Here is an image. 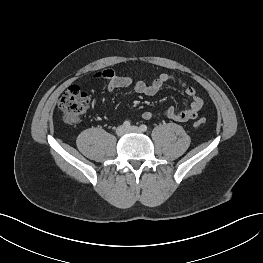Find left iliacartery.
I'll return each mask as SVG.
<instances>
[{
  "mask_svg": "<svg viewBox=\"0 0 263 263\" xmlns=\"http://www.w3.org/2000/svg\"><path fill=\"white\" fill-rule=\"evenodd\" d=\"M140 130L143 131V132L147 131V126L145 124H142L140 126Z\"/></svg>",
  "mask_w": 263,
  "mask_h": 263,
  "instance_id": "1",
  "label": "left iliac artery"
}]
</instances>
